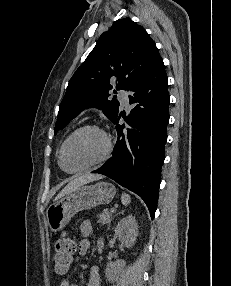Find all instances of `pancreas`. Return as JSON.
Instances as JSON below:
<instances>
[{
    "label": "pancreas",
    "mask_w": 231,
    "mask_h": 286,
    "mask_svg": "<svg viewBox=\"0 0 231 286\" xmlns=\"http://www.w3.org/2000/svg\"><path fill=\"white\" fill-rule=\"evenodd\" d=\"M98 223L104 225L106 223H110L112 218V213L107 209H104L98 216Z\"/></svg>",
    "instance_id": "obj_1"
}]
</instances>
